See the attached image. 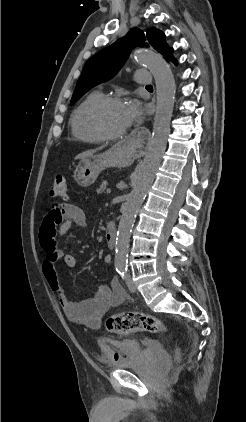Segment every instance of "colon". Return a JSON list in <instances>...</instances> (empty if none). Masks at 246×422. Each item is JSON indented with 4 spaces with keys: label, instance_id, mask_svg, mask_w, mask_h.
<instances>
[{
    "label": "colon",
    "instance_id": "1",
    "mask_svg": "<svg viewBox=\"0 0 246 422\" xmlns=\"http://www.w3.org/2000/svg\"><path fill=\"white\" fill-rule=\"evenodd\" d=\"M49 194L54 198H65L68 194V184L62 175L56 176ZM106 328L114 333L150 332L163 333L166 327L158 318L140 312H121L110 316L106 321Z\"/></svg>",
    "mask_w": 246,
    "mask_h": 422
}]
</instances>
